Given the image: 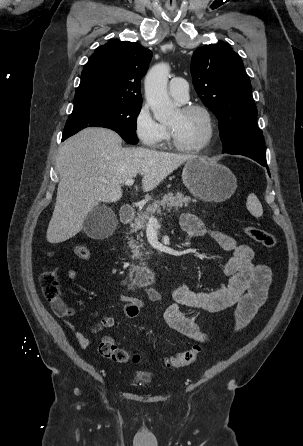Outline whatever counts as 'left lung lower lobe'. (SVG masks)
<instances>
[{"mask_svg":"<svg viewBox=\"0 0 303 446\" xmlns=\"http://www.w3.org/2000/svg\"><path fill=\"white\" fill-rule=\"evenodd\" d=\"M247 157L254 159L255 161L259 162L261 165L265 166L268 169L266 159H261L255 156H247Z\"/></svg>","mask_w":303,"mask_h":446,"instance_id":"obj_1","label":"left lung lower lobe"}]
</instances>
